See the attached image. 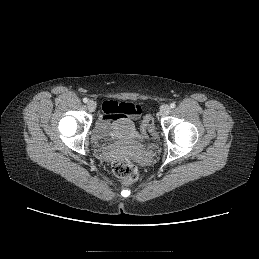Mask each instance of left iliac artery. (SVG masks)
<instances>
[{
    "mask_svg": "<svg viewBox=\"0 0 259 259\" xmlns=\"http://www.w3.org/2000/svg\"><path fill=\"white\" fill-rule=\"evenodd\" d=\"M175 106H176L175 103H171V104H170V107H171V108H175Z\"/></svg>",
    "mask_w": 259,
    "mask_h": 259,
    "instance_id": "left-iliac-artery-1",
    "label": "left iliac artery"
}]
</instances>
